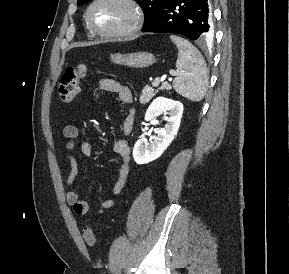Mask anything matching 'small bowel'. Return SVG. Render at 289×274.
Listing matches in <instances>:
<instances>
[{
    "mask_svg": "<svg viewBox=\"0 0 289 274\" xmlns=\"http://www.w3.org/2000/svg\"><path fill=\"white\" fill-rule=\"evenodd\" d=\"M98 85L100 89L104 91L116 93L122 103L127 105H131L133 103V93L128 85H125L113 79H101L98 82ZM133 120V110H130L122 123V133L124 136L116 140V142L114 143V151L119 156L122 164L120 166L117 179L112 189L110 190V194L112 196H116L122 191L128 178L130 148L126 136L132 130ZM75 121H77V118L73 119V122ZM62 134L66 139V142L64 144V154L70 165V171L67 177V185L69 187H72L79 172L78 162L74 156V149L76 147V141L79 135V131L76 125L70 123L66 124L62 128ZM79 149L81 154L85 157H91L93 154V147L87 141H82L79 145ZM66 201L69 205L73 207L74 212L79 216L86 215L89 211L88 203L85 200L80 199L79 195L74 190H69L67 192ZM115 204L116 200L112 197L104 199L99 203V208L97 212L99 214H103L106 210L114 207Z\"/></svg>",
    "mask_w": 289,
    "mask_h": 274,
    "instance_id": "c3829d8e",
    "label": "small bowel"
}]
</instances>
